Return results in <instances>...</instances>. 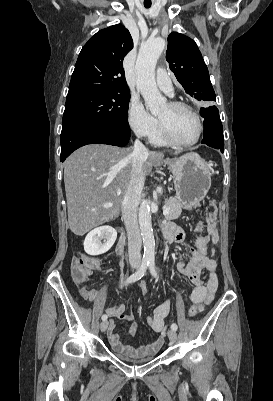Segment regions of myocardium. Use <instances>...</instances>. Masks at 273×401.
Here are the masks:
<instances>
[{
  "instance_id": "1",
  "label": "myocardium",
  "mask_w": 273,
  "mask_h": 401,
  "mask_svg": "<svg viewBox=\"0 0 273 401\" xmlns=\"http://www.w3.org/2000/svg\"><path fill=\"white\" fill-rule=\"evenodd\" d=\"M169 105L174 108L184 109V110L188 111L190 114H192L198 122L199 132H198L197 137L192 141H189V142L180 141L172 134V132L163 123V121L160 118H158L159 127H160V130L162 132L164 139L167 142L171 143L172 145L179 146V147H190V146L197 144L202 139V137L204 135V131H205V126H204V121H203L202 116L192 106H190L186 103L172 101L169 103Z\"/></svg>"
}]
</instances>
